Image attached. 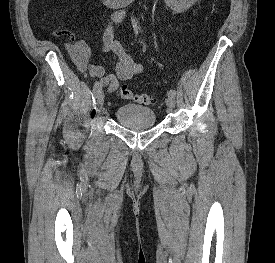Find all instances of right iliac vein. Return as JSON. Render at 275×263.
I'll return each mask as SVG.
<instances>
[{"instance_id":"63e3f726","label":"right iliac vein","mask_w":275,"mask_h":263,"mask_svg":"<svg viewBox=\"0 0 275 263\" xmlns=\"http://www.w3.org/2000/svg\"><path fill=\"white\" fill-rule=\"evenodd\" d=\"M96 101H97L98 106L103 105V103H104V93H103L102 90L96 94Z\"/></svg>"}]
</instances>
